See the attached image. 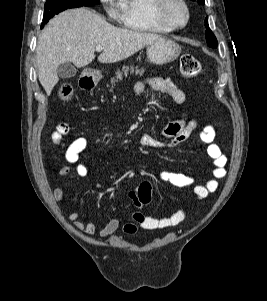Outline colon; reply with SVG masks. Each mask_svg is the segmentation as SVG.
I'll list each match as a JSON object with an SVG mask.
<instances>
[{
	"instance_id": "obj_1",
	"label": "colon",
	"mask_w": 267,
	"mask_h": 301,
	"mask_svg": "<svg viewBox=\"0 0 267 301\" xmlns=\"http://www.w3.org/2000/svg\"><path fill=\"white\" fill-rule=\"evenodd\" d=\"M201 70L200 62L192 55L185 54L180 60V72L185 78L196 77ZM73 87L70 84H63L58 90V97L63 102H68L73 98ZM137 200L141 205H146L151 201V185L148 182L140 184L137 190Z\"/></svg>"
}]
</instances>
